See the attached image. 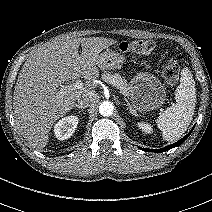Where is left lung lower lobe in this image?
Instances as JSON below:
<instances>
[{"label":"left lung lower lobe","instance_id":"left-lung-lower-lobe-1","mask_svg":"<svg viewBox=\"0 0 212 212\" xmlns=\"http://www.w3.org/2000/svg\"><path fill=\"white\" fill-rule=\"evenodd\" d=\"M192 131H193V129L186 136H184L182 139L178 140L174 144H171V145H169L167 147H164V148H161V149H146V148H141V150L148 151V152H154V153H161V152L168 151V150H170V149H172L174 147H177L180 144H182L188 138V136L191 134Z\"/></svg>","mask_w":212,"mask_h":212}]
</instances>
